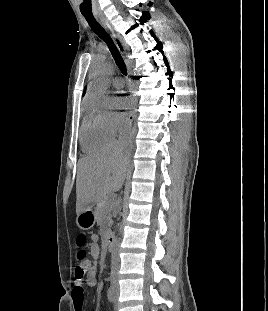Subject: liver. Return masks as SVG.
Instances as JSON below:
<instances>
[{
  "mask_svg": "<svg viewBox=\"0 0 268 311\" xmlns=\"http://www.w3.org/2000/svg\"><path fill=\"white\" fill-rule=\"evenodd\" d=\"M126 173L124 149L112 145L104 151L82 158L76 180V213L98 203L110 192L122 188Z\"/></svg>",
  "mask_w": 268,
  "mask_h": 311,
  "instance_id": "liver-1",
  "label": "liver"
}]
</instances>
